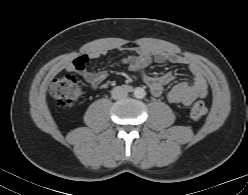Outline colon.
Returning <instances> with one entry per match:
<instances>
[{"instance_id":"obj_1","label":"colon","mask_w":248,"mask_h":195,"mask_svg":"<svg viewBox=\"0 0 248 195\" xmlns=\"http://www.w3.org/2000/svg\"><path fill=\"white\" fill-rule=\"evenodd\" d=\"M82 92L79 81L73 75L56 78L50 86V95L61 107L73 106ZM206 113V105L202 100H195L190 107V116L199 119Z\"/></svg>"}]
</instances>
